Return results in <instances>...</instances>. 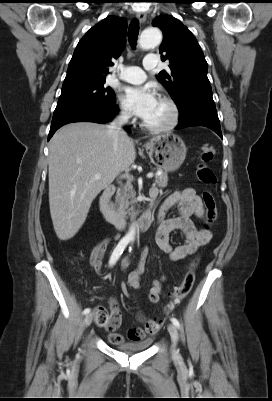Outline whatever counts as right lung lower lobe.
<instances>
[{
  "instance_id": "1",
  "label": "right lung lower lobe",
  "mask_w": 272,
  "mask_h": 401,
  "mask_svg": "<svg viewBox=\"0 0 272 401\" xmlns=\"http://www.w3.org/2000/svg\"><path fill=\"white\" fill-rule=\"evenodd\" d=\"M118 112L116 104L108 110H99L95 108H83L69 111L57 116H53L48 140L53 136L61 126L72 122H95L106 123Z\"/></svg>"
}]
</instances>
